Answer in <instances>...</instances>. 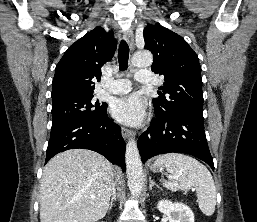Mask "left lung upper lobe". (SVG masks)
<instances>
[{
  "label": "left lung upper lobe",
  "instance_id": "1",
  "mask_svg": "<svg viewBox=\"0 0 257 222\" xmlns=\"http://www.w3.org/2000/svg\"><path fill=\"white\" fill-rule=\"evenodd\" d=\"M144 48L153 53L151 69L164 75L163 93L153 99L162 114L196 113L203 115L201 67L197 54L178 34L161 26L144 29ZM166 94V95H165Z\"/></svg>",
  "mask_w": 257,
  "mask_h": 222
}]
</instances>
